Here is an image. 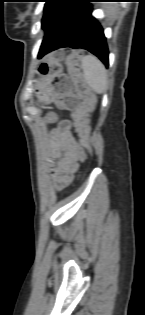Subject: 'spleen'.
Wrapping results in <instances>:
<instances>
[{"label": "spleen", "instance_id": "obj_1", "mask_svg": "<svg viewBox=\"0 0 145 315\" xmlns=\"http://www.w3.org/2000/svg\"><path fill=\"white\" fill-rule=\"evenodd\" d=\"M81 67L88 86L97 94H102L107 87V73L102 62L94 55L81 57Z\"/></svg>", "mask_w": 145, "mask_h": 315}]
</instances>
